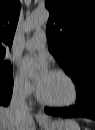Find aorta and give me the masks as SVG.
<instances>
[{
	"mask_svg": "<svg viewBox=\"0 0 95 130\" xmlns=\"http://www.w3.org/2000/svg\"><path fill=\"white\" fill-rule=\"evenodd\" d=\"M49 12L46 9L36 10L25 21V32H30L33 29L47 23Z\"/></svg>",
	"mask_w": 95,
	"mask_h": 130,
	"instance_id": "aorta-1",
	"label": "aorta"
}]
</instances>
